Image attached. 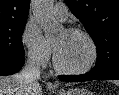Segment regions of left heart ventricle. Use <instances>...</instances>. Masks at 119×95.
<instances>
[{"label": "left heart ventricle", "mask_w": 119, "mask_h": 95, "mask_svg": "<svg viewBox=\"0 0 119 95\" xmlns=\"http://www.w3.org/2000/svg\"><path fill=\"white\" fill-rule=\"evenodd\" d=\"M59 63L70 69L84 67L91 58V47L81 35L63 31L54 41Z\"/></svg>", "instance_id": "obj_1"}]
</instances>
